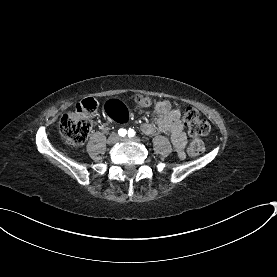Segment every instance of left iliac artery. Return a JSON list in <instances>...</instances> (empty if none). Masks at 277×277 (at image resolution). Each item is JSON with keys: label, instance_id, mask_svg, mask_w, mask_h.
I'll use <instances>...</instances> for the list:
<instances>
[{"label": "left iliac artery", "instance_id": "1", "mask_svg": "<svg viewBox=\"0 0 277 277\" xmlns=\"http://www.w3.org/2000/svg\"><path fill=\"white\" fill-rule=\"evenodd\" d=\"M128 136L129 137H134L135 136V131L133 129L128 130Z\"/></svg>", "mask_w": 277, "mask_h": 277}]
</instances>
